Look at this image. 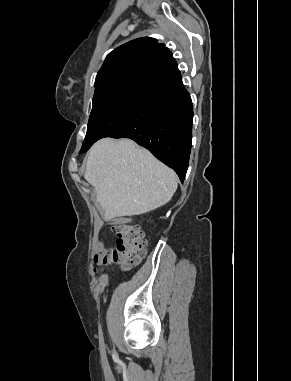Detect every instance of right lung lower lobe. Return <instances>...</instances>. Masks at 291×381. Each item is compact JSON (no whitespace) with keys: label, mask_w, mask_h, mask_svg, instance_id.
Wrapping results in <instances>:
<instances>
[{"label":"right lung lower lobe","mask_w":291,"mask_h":381,"mask_svg":"<svg viewBox=\"0 0 291 381\" xmlns=\"http://www.w3.org/2000/svg\"><path fill=\"white\" fill-rule=\"evenodd\" d=\"M192 123V101L173 62L143 77L120 132L112 137L130 138L147 148L183 182L189 165Z\"/></svg>","instance_id":"right-lung-lower-lobe-1"}]
</instances>
